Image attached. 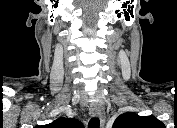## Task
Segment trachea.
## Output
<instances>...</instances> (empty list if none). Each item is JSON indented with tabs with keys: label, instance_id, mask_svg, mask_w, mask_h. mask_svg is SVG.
<instances>
[{
	"label": "trachea",
	"instance_id": "3493384b",
	"mask_svg": "<svg viewBox=\"0 0 177 128\" xmlns=\"http://www.w3.org/2000/svg\"><path fill=\"white\" fill-rule=\"evenodd\" d=\"M100 126V120L97 117H93L90 119L88 123V128H99Z\"/></svg>",
	"mask_w": 177,
	"mask_h": 128
}]
</instances>
